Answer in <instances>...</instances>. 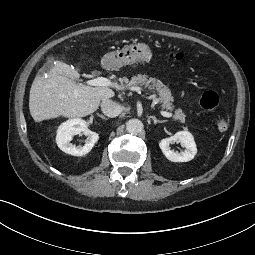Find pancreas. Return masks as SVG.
<instances>
[{"mask_svg": "<svg viewBox=\"0 0 255 255\" xmlns=\"http://www.w3.org/2000/svg\"><path fill=\"white\" fill-rule=\"evenodd\" d=\"M127 86L131 89H135L139 86H144L145 88H148L150 91H156L159 95V101L162 104V108L167 110L174 109L171 103L173 101V97L171 95L170 89L166 85H164L160 80L154 77H148L147 75L138 74L137 76L131 78ZM173 119L184 122L185 115L179 109L175 111Z\"/></svg>", "mask_w": 255, "mask_h": 255, "instance_id": "1", "label": "pancreas"}]
</instances>
